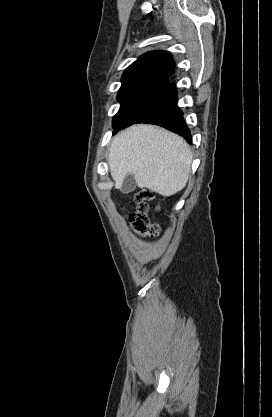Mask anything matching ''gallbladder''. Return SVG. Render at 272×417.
Segmentation results:
<instances>
[{
	"mask_svg": "<svg viewBox=\"0 0 272 417\" xmlns=\"http://www.w3.org/2000/svg\"><path fill=\"white\" fill-rule=\"evenodd\" d=\"M135 188H136V180L132 174H128L125 177L120 190L122 193L128 194L132 192Z\"/></svg>",
	"mask_w": 272,
	"mask_h": 417,
	"instance_id": "gallbladder-1",
	"label": "gallbladder"
}]
</instances>
